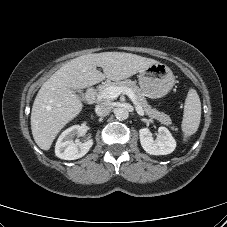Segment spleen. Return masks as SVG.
Wrapping results in <instances>:
<instances>
[{
    "label": "spleen",
    "mask_w": 227,
    "mask_h": 227,
    "mask_svg": "<svg viewBox=\"0 0 227 227\" xmlns=\"http://www.w3.org/2000/svg\"><path fill=\"white\" fill-rule=\"evenodd\" d=\"M201 102L195 89L190 88L185 100L184 115L181 124L184 141L193 135L200 124Z\"/></svg>",
    "instance_id": "spleen-1"
}]
</instances>
